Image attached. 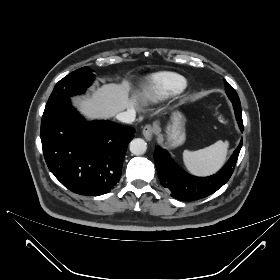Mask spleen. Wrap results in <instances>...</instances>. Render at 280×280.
Instances as JSON below:
<instances>
[{
  "mask_svg": "<svg viewBox=\"0 0 280 280\" xmlns=\"http://www.w3.org/2000/svg\"><path fill=\"white\" fill-rule=\"evenodd\" d=\"M228 141L214 144L196 151L185 150L183 161L187 170L195 176H209L216 173L224 164L228 152Z\"/></svg>",
  "mask_w": 280,
  "mask_h": 280,
  "instance_id": "1",
  "label": "spleen"
}]
</instances>
